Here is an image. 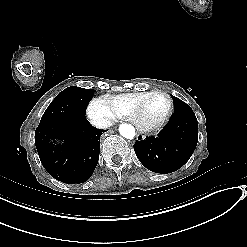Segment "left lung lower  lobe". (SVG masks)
I'll list each match as a JSON object with an SVG mask.
<instances>
[{
  "label": "left lung lower lobe",
  "instance_id": "1",
  "mask_svg": "<svg viewBox=\"0 0 247 247\" xmlns=\"http://www.w3.org/2000/svg\"><path fill=\"white\" fill-rule=\"evenodd\" d=\"M198 141V122L191 111L174 113L157 137H146L134 144L139 161L152 172L171 173L192 156Z\"/></svg>",
  "mask_w": 247,
  "mask_h": 247
}]
</instances>
